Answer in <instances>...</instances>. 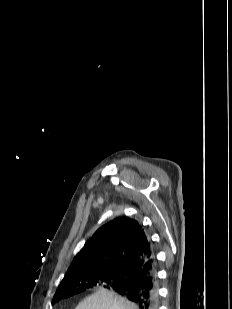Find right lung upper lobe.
<instances>
[{"label":"right lung upper lobe","mask_w":232,"mask_h":309,"mask_svg":"<svg viewBox=\"0 0 232 309\" xmlns=\"http://www.w3.org/2000/svg\"><path fill=\"white\" fill-rule=\"evenodd\" d=\"M153 255L143 226L129 217H118L100 227L87 240L62 282L87 271L124 273L139 268Z\"/></svg>","instance_id":"cb5924a9"}]
</instances>
